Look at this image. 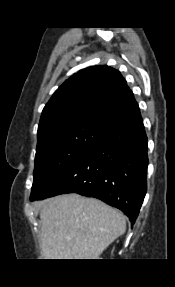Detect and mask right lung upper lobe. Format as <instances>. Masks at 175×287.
Masks as SVG:
<instances>
[{
	"label": "right lung upper lobe",
	"mask_w": 175,
	"mask_h": 287,
	"mask_svg": "<svg viewBox=\"0 0 175 287\" xmlns=\"http://www.w3.org/2000/svg\"><path fill=\"white\" fill-rule=\"evenodd\" d=\"M139 111L119 71L104 65L88 67L55 91L42 111L38 136L65 124L101 122L114 126Z\"/></svg>",
	"instance_id": "right-lung-upper-lobe-1"
}]
</instances>
